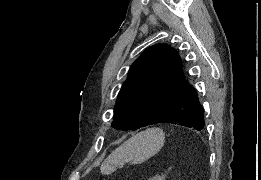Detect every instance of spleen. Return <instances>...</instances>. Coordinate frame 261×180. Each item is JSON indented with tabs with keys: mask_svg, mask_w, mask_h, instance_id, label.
Masks as SVG:
<instances>
[{
	"mask_svg": "<svg viewBox=\"0 0 261 180\" xmlns=\"http://www.w3.org/2000/svg\"><path fill=\"white\" fill-rule=\"evenodd\" d=\"M164 142L165 134L161 128H147L116 148L115 152L108 156L101 172L108 176L117 168H123L125 164H143L162 150Z\"/></svg>",
	"mask_w": 261,
	"mask_h": 180,
	"instance_id": "obj_1",
	"label": "spleen"
}]
</instances>
